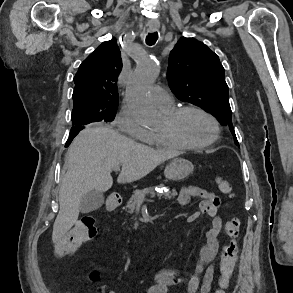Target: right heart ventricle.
<instances>
[{
  "label": "right heart ventricle",
  "instance_id": "obj_1",
  "mask_svg": "<svg viewBox=\"0 0 293 293\" xmlns=\"http://www.w3.org/2000/svg\"><path fill=\"white\" fill-rule=\"evenodd\" d=\"M172 110H173V107L164 111L168 114ZM147 143L152 147L162 149V150L177 151V150L184 149V147H182L181 145L165 137L162 134V132L152 133L151 138L149 139V141H147Z\"/></svg>",
  "mask_w": 293,
  "mask_h": 293
}]
</instances>
